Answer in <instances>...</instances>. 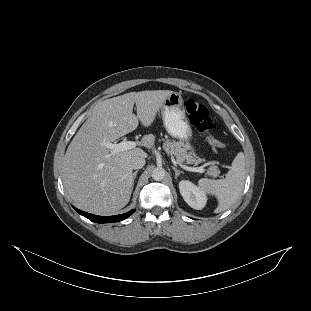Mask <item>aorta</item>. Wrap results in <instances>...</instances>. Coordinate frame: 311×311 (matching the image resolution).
I'll list each match as a JSON object with an SVG mask.
<instances>
[{
    "mask_svg": "<svg viewBox=\"0 0 311 311\" xmlns=\"http://www.w3.org/2000/svg\"><path fill=\"white\" fill-rule=\"evenodd\" d=\"M151 176H152V179L155 181H162L166 176V172L163 168H155L152 171Z\"/></svg>",
    "mask_w": 311,
    "mask_h": 311,
    "instance_id": "762f6f07",
    "label": "aorta"
}]
</instances>
